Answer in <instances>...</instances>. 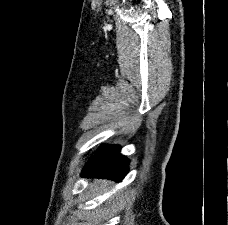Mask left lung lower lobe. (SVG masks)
<instances>
[{
  "label": "left lung lower lobe",
  "instance_id": "1",
  "mask_svg": "<svg viewBox=\"0 0 228 225\" xmlns=\"http://www.w3.org/2000/svg\"><path fill=\"white\" fill-rule=\"evenodd\" d=\"M118 146L101 145L82 170V176L120 181L128 170V160Z\"/></svg>",
  "mask_w": 228,
  "mask_h": 225
}]
</instances>
